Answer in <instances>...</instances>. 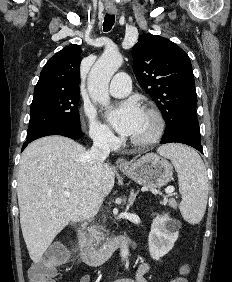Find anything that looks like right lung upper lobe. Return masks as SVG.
Here are the masks:
<instances>
[{"label": "right lung upper lobe", "instance_id": "1", "mask_svg": "<svg viewBox=\"0 0 232 282\" xmlns=\"http://www.w3.org/2000/svg\"><path fill=\"white\" fill-rule=\"evenodd\" d=\"M80 54L78 45L67 46L51 57L42 69L34 93L79 92Z\"/></svg>", "mask_w": 232, "mask_h": 282}]
</instances>
